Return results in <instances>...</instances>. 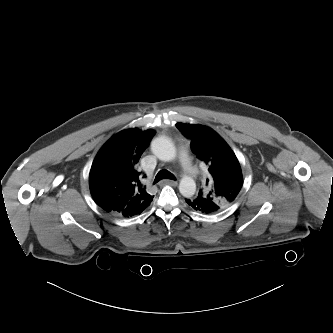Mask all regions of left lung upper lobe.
Listing matches in <instances>:
<instances>
[{
    "mask_svg": "<svg viewBox=\"0 0 333 333\" xmlns=\"http://www.w3.org/2000/svg\"><path fill=\"white\" fill-rule=\"evenodd\" d=\"M176 127L191 140L192 151L209 167L208 188L200 190L198 196L214 201L220 210L228 208L243 184L241 167L234 152L207 126L177 123Z\"/></svg>",
    "mask_w": 333,
    "mask_h": 333,
    "instance_id": "left-lung-upper-lobe-1",
    "label": "left lung upper lobe"
}]
</instances>
